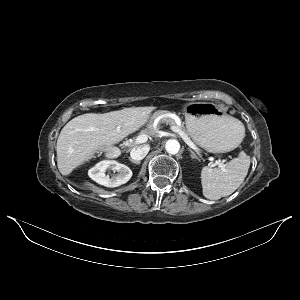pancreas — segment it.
Wrapping results in <instances>:
<instances>
[{"label":"pancreas","mask_w":300,"mask_h":300,"mask_svg":"<svg viewBox=\"0 0 300 300\" xmlns=\"http://www.w3.org/2000/svg\"><path fill=\"white\" fill-rule=\"evenodd\" d=\"M162 114H164V112H161V113H160V115H162ZM159 123H160V124L166 123V124H170V125H173V126H177L176 123H175V121H174L173 119H171V118H163V119L160 120ZM177 127H178L179 129H181L184 133H186V134L188 135V133H187V131H186V129H185V127H184L183 125H180V126H177ZM143 132H144L145 134L153 135V134H154V131H153V129H152V125L149 124L148 128L145 129V130H143Z\"/></svg>","instance_id":"obj_1"}]
</instances>
